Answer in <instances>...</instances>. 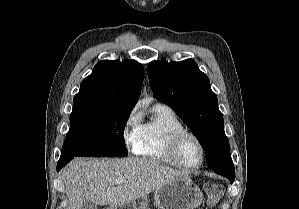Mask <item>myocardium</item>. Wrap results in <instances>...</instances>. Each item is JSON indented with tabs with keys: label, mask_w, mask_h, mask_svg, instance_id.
<instances>
[{
	"label": "myocardium",
	"mask_w": 299,
	"mask_h": 209,
	"mask_svg": "<svg viewBox=\"0 0 299 209\" xmlns=\"http://www.w3.org/2000/svg\"><path fill=\"white\" fill-rule=\"evenodd\" d=\"M186 137L193 138L198 143V145L201 149V154H202L201 161L196 166H187V165L183 164L180 159V146H181L183 139ZM168 152H169V156H170L173 164L176 167L183 169V170H187V171H193V170H197V169L201 168L206 159V148H205L204 143L202 142V140L199 138L198 135H196L195 133H193L191 131H187V130L176 132L170 137Z\"/></svg>",
	"instance_id": "myocardium-1"
}]
</instances>
